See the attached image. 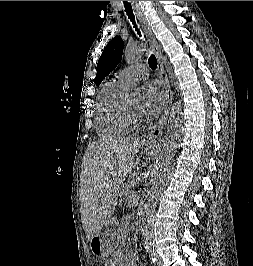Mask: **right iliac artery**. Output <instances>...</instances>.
<instances>
[{
	"instance_id": "82829eb1",
	"label": "right iliac artery",
	"mask_w": 253,
	"mask_h": 266,
	"mask_svg": "<svg viewBox=\"0 0 253 266\" xmlns=\"http://www.w3.org/2000/svg\"><path fill=\"white\" fill-rule=\"evenodd\" d=\"M148 253H149V257H150L152 263L155 264L156 263V257H155L154 247H149Z\"/></svg>"
}]
</instances>
